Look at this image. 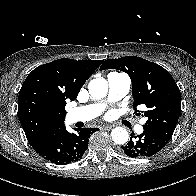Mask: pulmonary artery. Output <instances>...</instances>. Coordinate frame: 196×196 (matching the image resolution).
Wrapping results in <instances>:
<instances>
[{
  "label": "pulmonary artery",
  "mask_w": 196,
  "mask_h": 196,
  "mask_svg": "<svg viewBox=\"0 0 196 196\" xmlns=\"http://www.w3.org/2000/svg\"><path fill=\"white\" fill-rule=\"evenodd\" d=\"M108 83V102H115L123 98L130 89L131 80L125 73L111 72L107 76ZM106 107L105 102H99L80 106L71 109L68 112V119L70 122H84L96 118ZM137 133L143 131L141 124L135 128Z\"/></svg>",
  "instance_id": "1"
}]
</instances>
